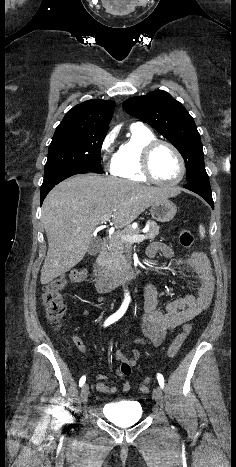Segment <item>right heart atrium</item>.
Listing matches in <instances>:
<instances>
[{
	"instance_id": "right-heart-atrium-1",
	"label": "right heart atrium",
	"mask_w": 236,
	"mask_h": 467,
	"mask_svg": "<svg viewBox=\"0 0 236 467\" xmlns=\"http://www.w3.org/2000/svg\"><path fill=\"white\" fill-rule=\"evenodd\" d=\"M114 140L115 135L113 133H109L105 136L100 145L102 160L107 162L110 166H112L115 158V154H113Z\"/></svg>"
}]
</instances>
